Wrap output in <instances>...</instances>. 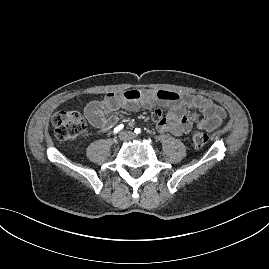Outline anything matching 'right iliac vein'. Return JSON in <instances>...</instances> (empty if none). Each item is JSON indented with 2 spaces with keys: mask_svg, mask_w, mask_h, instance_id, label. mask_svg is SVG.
I'll use <instances>...</instances> for the list:
<instances>
[{
  "mask_svg": "<svg viewBox=\"0 0 269 269\" xmlns=\"http://www.w3.org/2000/svg\"><path fill=\"white\" fill-rule=\"evenodd\" d=\"M119 138L122 140V139H125V137L122 135V133L119 135Z\"/></svg>",
  "mask_w": 269,
  "mask_h": 269,
  "instance_id": "63e3f726",
  "label": "right iliac vein"
}]
</instances>
